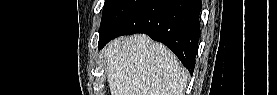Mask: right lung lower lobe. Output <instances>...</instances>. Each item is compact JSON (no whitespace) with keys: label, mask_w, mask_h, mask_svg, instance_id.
Segmentation results:
<instances>
[{"label":"right lung lower lobe","mask_w":277,"mask_h":95,"mask_svg":"<svg viewBox=\"0 0 277 95\" xmlns=\"http://www.w3.org/2000/svg\"><path fill=\"white\" fill-rule=\"evenodd\" d=\"M200 0H145L99 45L120 35L145 33L170 48L193 73L200 37Z\"/></svg>","instance_id":"1"}]
</instances>
